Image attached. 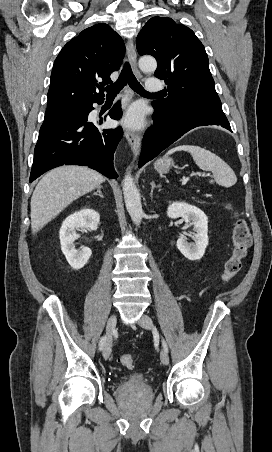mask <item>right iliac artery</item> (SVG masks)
Wrapping results in <instances>:
<instances>
[{
  "instance_id": "1",
  "label": "right iliac artery",
  "mask_w": 272,
  "mask_h": 452,
  "mask_svg": "<svg viewBox=\"0 0 272 452\" xmlns=\"http://www.w3.org/2000/svg\"><path fill=\"white\" fill-rule=\"evenodd\" d=\"M106 341V336H103L99 343V350H102Z\"/></svg>"
}]
</instances>
